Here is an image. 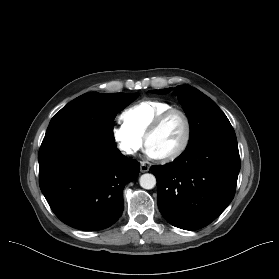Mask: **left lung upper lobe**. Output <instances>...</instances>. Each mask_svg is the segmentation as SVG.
Masks as SVG:
<instances>
[{
    "instance_id": "5c2ea615",
    "label": "left lung upper lobe",
    "mask_w": 279,
    "mask_h": 279,
    "mask_svg": "<svg viewBox=\"0 0 279 279\" xmlns=\"http://www.w3.org/2000/svg\"><path fill=\"white\" fill-rule=\"evenodd\" d=\"M171 88L153 90L156 94H166ZM174 94L183 106L190 124L188 146L214 135H234L235 132L226 115L217 104L198 89L189 85H179Z\"/></svg>"
}]
</instances>
